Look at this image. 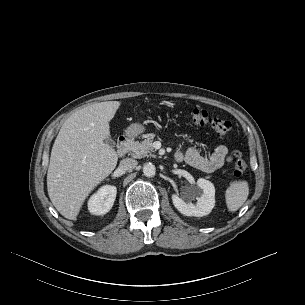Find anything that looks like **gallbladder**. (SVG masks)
Instances as JSON below:
<instances>
[{
  "label": "gallbladder",
  "mask_w": 305,
  "mask_h": 305,
  "mask_svg": "<svg viewBox=\"0 0 305 305\" xmlns=\"http://www.w3.org/2000/svg\"><path fill=\"white\" fill-rule=\"evenodd\" d=\"M107 145H109L110 147H115V141L112 140L111 138H106L104 141Z\"/></svg>",
  "instance_id": "gallbladder-1"
}]
</instances>
